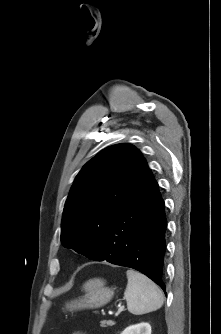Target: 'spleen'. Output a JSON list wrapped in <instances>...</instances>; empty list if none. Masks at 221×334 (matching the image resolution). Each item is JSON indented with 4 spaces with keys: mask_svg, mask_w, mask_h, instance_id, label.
<instances>
[{
    "mask_svg": "<svg viewBox=\"0 0 221 334\" xmlns=\"http://www.w3.org/2000/svg\"><path fill=\"white\" fill-rule=\"evenodd\" d=\"M128 283L124 292L128 311L134 315H142L162 307L164 297L161 289L145 275L128 269Z\"/></svg>",
    "mask_w": 221,
    "mask_h": 334,
    "instance_id": "3e777b00",
    "label": "spleen"
}]
</instances>
